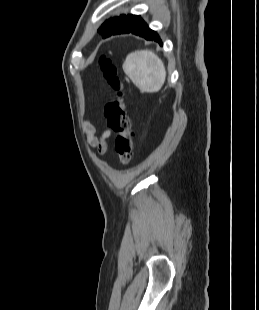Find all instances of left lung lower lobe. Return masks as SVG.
<instances>
[{"mask_svg":"<svg viewBox=\"0 0 259 310\" xmlns=\"http://www.w3.org/2000/svg\"><path fill=\"white\" fill-rule=\"evenodd\" d=\"M124 33H132L147 40H154L162 45L159 35L155 31L151 30L140 16L132 14L125 16L117 27L106 37Z\"/></svg>","mask_w":259,"mask_h":310,"instance_id":"obj_1","label":"left lung lower lobe"}]
</instances>
